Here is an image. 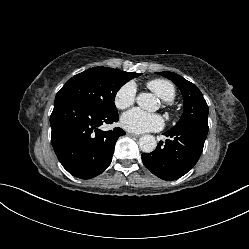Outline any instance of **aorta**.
Masks as SVG:
<instances>
[{"label":"aorta","mask_w":249,"mask_h":249,"mask_svg":"<svg viewBox=\"0 0 249 249\" xmlns=\"http://www.w3.org/2000/svg\"><path fill=\"white\" fill-rule=\"evenodd\" d=\"M137 104L143 109H152L155 99L151 93H140L137 97ZM157 142L153 135H144L139 139L141 151L150 153L156 149Z\"/></svg>","instance_id":"762f6f07"}]
</instances>
